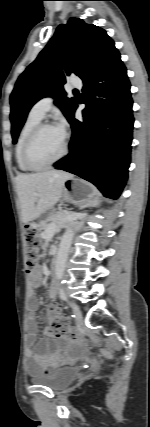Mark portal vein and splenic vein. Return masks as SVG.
Masks as SVG:
<instances>
[{
  "label": "portal vein and splenic vein",
  "mask_w": 150,
  "mask_h": 427,
  "mask_svg": "<svg viewBox=\"0 0 150 427\" xmlns=\"http://www.w3.org/2000/svg\"><path fill=\"white\" fill-rule=\"evenodd\" d=\"M70 216H71V217H73V216H74V214H72V213H71V214H70Z\"/></svg>",
  "instance_id": "portal-vein-and-splenic-vein-1"
}]
</instances>
